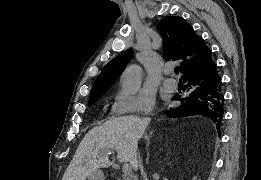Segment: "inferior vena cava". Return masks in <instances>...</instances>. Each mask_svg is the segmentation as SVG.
Segmentation results:
<instances>
[{"instance_id":"1","label":"inferior vena cava","mask_w":261,"mask_h":180,"mask_svg":"<svg viewBox=\"0 0 261 180\" xmlns=\"http://www.w3.org/2000/svg\"><path fill=\"white\" fill-rule=\"evenodd\" d=\"M137 166L139 168V166H141V162H139V160H137Z\"/></svg>"}]
</instances>
